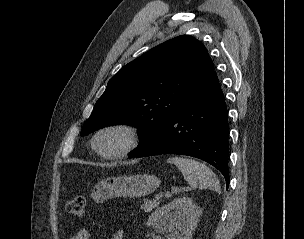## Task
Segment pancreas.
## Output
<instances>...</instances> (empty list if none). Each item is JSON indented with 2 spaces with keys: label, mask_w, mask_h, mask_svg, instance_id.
I'll use <instances>...</instances> for the list:
<instances>
[{
  "label": "pancreas",
  "mask_w": 304,
  "mask_h": 239,
  "mask_svg": "<svg viewBox=\"0 0 304 239\" xmlns=\"http://www.w3.org/2000/svg\"><path fill=\"white\" fill-rule=\"evenodd\" d=\"M157 199L153 201L145 202V204L141 206V209L144 210L145 212H151L154 208L159 206V202Z\"/></svg>",
  "instance_id": "pancreas-1"
}]
</instances>
